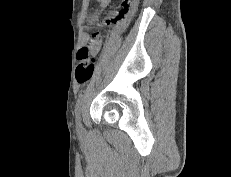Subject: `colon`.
I'll list each match as a JSON object with an SVG mask.
<instances>
[{
	"instance_id": "1",
	"label": "colon",
	"mask_w": 231,
	"mask_h": 177,
	"mask_svg": "<svg viewBox=\"0 0 231 177\" xmlns=\"http://www.w3.org/2000/svg\"><path fill=\"white\" fill-rule=\"evenodd\" d=\"M137 1L138 0H124L122 10L117 14V16L107 19L106 23L113 24L118 20L130 15L134 11ZM93 38L98 37L94 35ZM76 57L77 66L75 77L79 84H85L89 82L93 77L95 70V60L87 46L80 48Z\"/></svg>"
}]
</instances>
